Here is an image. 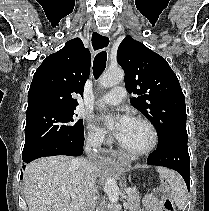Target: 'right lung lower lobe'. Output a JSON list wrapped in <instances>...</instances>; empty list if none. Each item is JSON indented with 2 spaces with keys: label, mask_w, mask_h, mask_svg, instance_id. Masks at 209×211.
I'll list each match as a JSON object with an SVG mask.
<instances>
[{
  "label": "right lung lower lobe",
  "mask_w": 209,
  "mask_h": 211,
  "mask_svg": "<svg viewBox=\"0 0 209 211\" xmlns=\"http://www.w3.org/2000/svg\"><path fill=\"white\" fill-rule=\"evenodd\" d=\"M84 136L75 141H57L42 146L27 156L22 157L24 163H29L37 158L55 155L80 156L83 153ZM25 168V165H23ZM23 173H21V178Z\"/></svg>",
  "instance_id": "1"
}]
</instances>
